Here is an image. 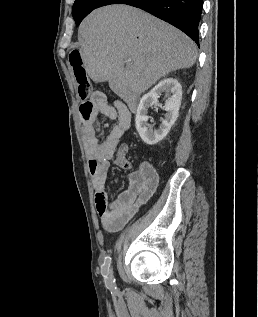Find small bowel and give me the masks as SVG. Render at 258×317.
<instances>
[{
	"instance_id": "c3829d8e",
	"label": "small bowel",
	"mask_w": 258,
	"mask_h": 317,
	"mask_svg": "<svg viewBox=\"0 0 258 317\" xmlns=\"http://www.w3.org/2000/svg\"><path fill=\"white\" fill-rule=\"evenodd\" d=\"M99 115L116 120L107 138L100 142L94 129L86 127ZM79 120L83 127L84 146L88 157V169L94 189L96 211L104 229L110 232L121 230L154 194L159 177L149 162H142L136 171L129 175V186L113 201H109L106 191V178L110 160L121 138L131 126V112L121 101L109 104L106 96L96 91L90 100L79 105Z\"/></svg>"
}]
</instances>
